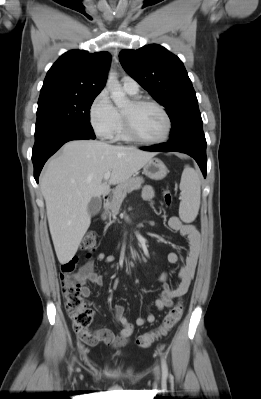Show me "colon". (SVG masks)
<instances>
[{"mask_svg":"<svg viewBox=\"0 0 261 399\" xmlns=\"http://www.w3.org/2000/svg\"><path fill=\"white\" fill-rule=\"evenodd\" d=\"M162 198L166 206L170 207L173 203L172 193L165 189ZM97 245V235L88 232L82 239L81 247L87 252H92ZM78 260H71L61 266L60 281L62 294L65 300V308L76 334L82 339L89 338V326L93 320V309L84 302L79 284L73 280V273L77 268ZM183 313L182 304L175 305L165 316L162 324L154 331L140 335L136 341L140 348H148L159 338L177 324Z\"/></svg>","mask_w":261,"mask_h":399,"instance_id":"colon-1","label":"colon"}]
</instances>
